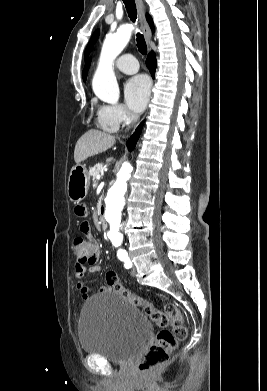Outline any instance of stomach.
I'll use <instances>...</instances> for the list:
<instances>
[{"mask_svg": "<svg viewBox=\"0 0 267 391\" xmlns=\"http://www.w3.org/2000/svg\"><path fill=\"white\" fill-rule=\"evenodd\" d=\"M90 185V175L84 165L74 166L69 174L67 183V195L74 203L82 201Z\"/></svg>", "mask_w": 267, "mask_h": 391, "instance_id": "stomach-1", "label": "stomach"}]
</instances>
